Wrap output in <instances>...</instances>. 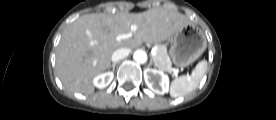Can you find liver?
Here are the masks:
<instances>
[{
	"label": "liver",
	"mask_w": 276,
	"mask_h": 120,
	"mask_svg": "<svg viewBox=\"0 0 276 120\" xmlns=\"http://www.w3.org/2000/svg\"><path fill=\"white\" fill-rule=\"evenodd\" d=\"M192 24L185 15L167 8L142 13L87 14L64 30L56 57V70L63 86L74 92L94 93L93 79L110 68L112 54L119 48L130 50L143 42H163L184 26ZM137 30L133 38L117 41L120 34Z\"/></svg>",
	"instance_id": "obj_1"
}]
</instances>
